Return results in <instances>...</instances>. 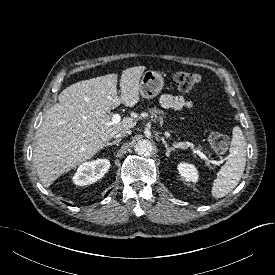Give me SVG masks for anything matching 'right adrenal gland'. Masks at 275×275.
Returning <instances> with one entry per match:
<instances>
[{
    "label": "right adrenal gland",
    "instance_id": "obj_1",
    "mask_svg": "<svg viewBox=\"0 0 275 275\" xmlns=\"http://www.w3.org/2000/svg\"><path fill=\"white\" fill-rule=\"evenodd\" d=\"M120 141H121V138H118V139L114 140L113 142L107 143L105 146H106V147H109V146H111V145H116V146H118L119 143H120Z\"/></svg>",
    "mask_w": 275,
    "mask_h": 275
}]
</instances>
